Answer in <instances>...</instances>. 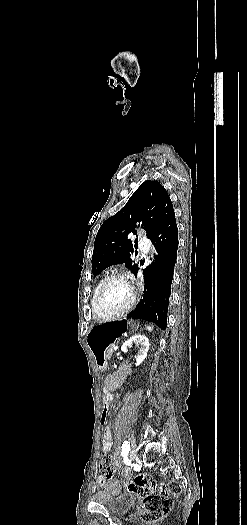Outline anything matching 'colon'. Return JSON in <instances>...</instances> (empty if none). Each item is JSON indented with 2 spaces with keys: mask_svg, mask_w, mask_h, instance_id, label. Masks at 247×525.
I'll use <instances>...</instances> for the list:
<instances>
[{
  "mask_svg": "<svg viewBox=\"0 0 247 525\" xmlns=\"http://www.w3.org/2000/svg\"><path fill=\"white\" fill-rule=\"evenodd\" d=\"M101 388L106 389L109 386L108 381L103 380L100 383ZM103 412L100 415L102 428H107V415L111 409L108 402L103 401L99 405ZM99 470L106 478L115 476V467L112 457L104 454L101 457ZM127 491L130 494L139 496L142 499L143 507L141 510V520L146 523H159L168 514L172 506V498L179 497L182 493L181 485L177 481L168 483H158L147 474H138L126 484Z\"/></svg>",
  "mask_w": 247,
  "mask_h": 525,
  "instance_id": "5ec220e1",
  "label": "colon"
}]
</instances>
